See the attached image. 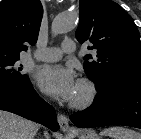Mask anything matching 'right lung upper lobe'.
Here are the masks:
<instances>
[{"label":"right lung upper lobe","instance_id":"right-lung-upper-lobe-1","mask_svg":"<svg viewBox=\"0 0 141 139\" xmlns=\"http://www.w3.org/2000/svg\"><path fill=\"white\" fill-rule=\"evenodd\" d=\"M43 15L40 0H3L0 2V56H19L28 42L38 38Z\"/></svg>","mask_w":141,"mask_h":139}]
</instances>
